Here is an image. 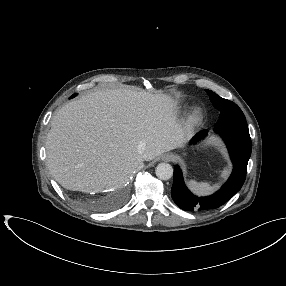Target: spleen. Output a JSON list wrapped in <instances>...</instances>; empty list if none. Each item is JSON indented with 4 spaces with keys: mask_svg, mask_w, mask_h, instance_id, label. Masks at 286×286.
<instances>
[{
    "mask_svg": "<svg viewBox=\"0 0 286 286\" xmlns=\"http://www.w3.org/2000/svg\"><path fill=\"white\" fill-rule=\"evenodd\" d=\"M228 174H229V168H225L221 174V177L226 178ZM188 186L196 194L207 195L210 194L214 189H216L219 186V184L211 186L205 182H196L195 180H189Z\"/></svg>",
    "mask_w": 286,
    "mask_h": 286,
    "instance_id": "spleen-1",
    "label": "spleen"
}]
</instances>
